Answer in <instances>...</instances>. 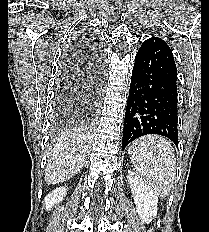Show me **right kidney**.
Here are the masks:
<instances>
[{
    "label": "right kidney",
    "mask_w": 209,
    "mask_h": 232,
    "mask_svg": "<svg viewBox=\"0 0 209 232\" xmlns=\"http://www.w3.org/2000/svg\"><path fill=\"white\" fill-rule=\"evenodd\" d=\"M66 187H59L53 190L50 194H48L44 199V206L47 211H50L55 204L59 203L63 200L65 195L67 194Z\"/></svg>",
    "instance_id": "obj_1"
}]
</instances>
